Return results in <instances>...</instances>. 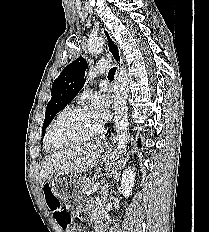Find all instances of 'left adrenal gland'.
Instances as JSON below:
<instances>
[{"label": "left adrenal gland", "instance_id": "obj_1", "mask_svg": "<svg viewBox=\"0 0 209 232\" xmlns=\"http://www.w3.org/2000/svg\"><path fill=\"white\" fill-rule=\"evenodd\" d=\"M108 188H109V185H108V184L102 183V186H101V193L104 194V195L102 196V198H103L104 200H106L105 194L108 192Z\"/></svg>", "mask_w": 209, "mask_h": 232}]
</instances>
